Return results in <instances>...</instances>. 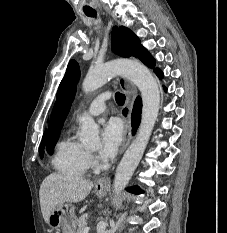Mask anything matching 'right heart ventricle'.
<instances>
[{
  "mask_svg": "<svg viewBox=\"0 0 227 233\" xmlns=\"http://www.w3.org/2000/svg\"><path fill=\"white\" fill-rule=\"evenodd\" d=\"M52 165L65 176L83 177L90 166L88 152L71 135H66L57 143Z\"/></svg>",
  "mask_w": 227,
  "mask_h": 233,
  "instance_id": "e07e8e85",
  "label": "right heart ventricle"
}]
</instances>
